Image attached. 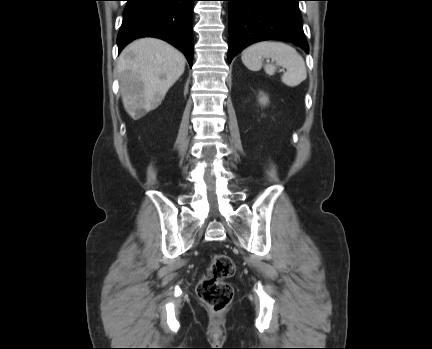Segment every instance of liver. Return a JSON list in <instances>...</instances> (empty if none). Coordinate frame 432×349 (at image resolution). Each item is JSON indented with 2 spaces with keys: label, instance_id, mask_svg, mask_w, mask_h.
<instances>
[{
  "label": "liver",
  "instance_id": "6515ba94",
  "mask_svg": "<svg viewBox=\"0 0 432 349\" xmlns=\"http://www.w3.org/2000/svg\"><path fill=\"white\" fill-rule=\"evenodd\" d=\"M184 55L155 38L133 41L121 52L117 65L125 110L137 119L157 108L185 70Z\"/></svg>",
  "mask_w": 432,
  "mask_h": 349
}]
</instances>
